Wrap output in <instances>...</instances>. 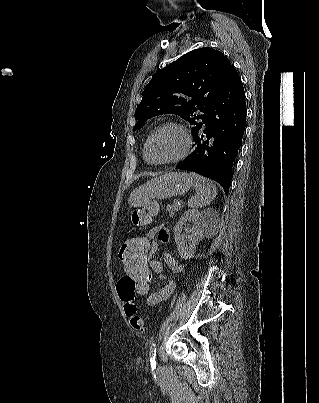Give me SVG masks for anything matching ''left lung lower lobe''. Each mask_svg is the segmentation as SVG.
I'll return each mask as SVG.
<instances>
[{"mask_svg":"<svg viewBox=\"0 0 319 403\" xmlns=\"http://www.w3.org/2000/svg\"><path fill=\"white\" fill-rule=\"evenodd\" d=\"M247 108L241 78L232 66L200 129L194 151L177 165L218 182L228 195L232 168L245 131Z\"/></svg>","mask_w":319,"mask_h":403,"instance_id":"left-lung-lower-lobe-1","label":"left lung lower lobe"}]
</instances>
